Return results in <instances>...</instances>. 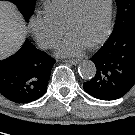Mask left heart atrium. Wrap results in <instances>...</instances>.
<instances>
[{"mask_svg": "<svg viewBox=\"0 0 135 135\" xmlns=\"http://www.w3.org/2000/svg\"><path fill=\"white\" fill-rule=\"evenodd\" d=\"M87 45L72 35L65 37L57 49L59 56H74L81 54Z\"/></svg>", "mask_w": 135, "mask_h": 135, "instance_id": "39dd6f15", "label": "left heart atrium"}]
</instances>
